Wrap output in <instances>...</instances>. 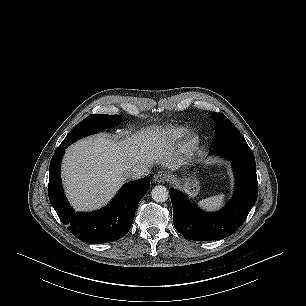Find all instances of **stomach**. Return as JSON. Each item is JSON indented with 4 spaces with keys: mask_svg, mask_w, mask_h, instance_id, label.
<instances>
[{
    "mask_svg": "<svg viewBox=\"0 0 306 306\" xmlns=\"http://www.w3.org/2000/svg\"><path fill=\"white\" fill-rule=\"evenodd\" d=\"M184 192L191 198L196 197L200 191V182L195 176H188L183 183Z\"/></svg>",
    "mask_w": 306,
    "mask_h": 306,
    "instance_id": "1",
    "label": "stomach"
}]
</instances>
